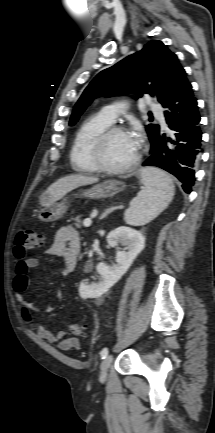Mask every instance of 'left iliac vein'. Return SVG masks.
Segmentation results:
<instances>
[{"instance_id": "4c4485c4", "label": "left iliac vein", "mask_w": 215, "mask_h": 433, "mask_svg": "<svg viewBox=\"0 0 215 433\" xmlns=\"http://www.w3.org/2000/svg\"><path fill=\"white\" fill-rule=\"evenodd\" d=\"M112 363V355H108L104 358L100 367V380L104 381L107 377L108 369Z\"/></svg>"}]
</instances>
